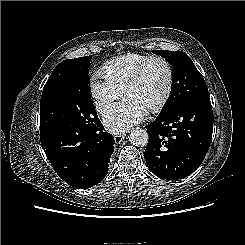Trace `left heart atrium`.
<instances>
[{"instance_id":"left-heart-atrium-1","label":"left heart atrium","mask_w":245,"mask_h":245,"mask_svg":"<svg viewBox=\"0 0 245 245\" xmlns=\"http://www.w3.org/2000/svg\"><path fill=\"white\" fill-rule=\"evenodd\" d=\"M147 110L136 99L126 97L106 111L103 122L109 130L123 132L140 122L146 116Z\"/></svg>"}]
</instances>
